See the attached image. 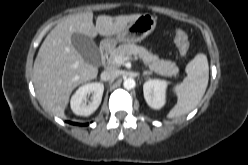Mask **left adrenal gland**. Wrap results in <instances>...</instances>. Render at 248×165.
Segmentation results:
<instances>
[{"mask_svg":"<svg viewBox=\"0 0 248 165\" xmlns=\"http://www.w3.org/2000/svg\"><path fill=\"white\" fill-rule=\"evenodd\" d=\"M150 74H152V72H150V71H143V75H150Z\"/></svg>","mask_w":248,"mask_h":165,"instance_id":"a2214340","label":"left adrenal gland"}]
</instances>
